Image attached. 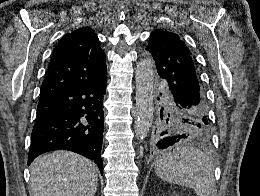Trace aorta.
<instances>
[{
  "label": "aorta",
  "instance_id": "aorta-1",
  "mask_svg": "<svg viewBox=\"0 0 260 196\" xmlns=\"http://www.w3.org/2000/svg\"><path fill=\"white\" fill-rule=\"evenodd\" d=\"M136 78V122L135 134L143 140L153 122L154 113V67L149 59H142L135 72Z\"/></svg>",
  "mask_w": 260,
  "mask_h": 196
}]
</instances>
